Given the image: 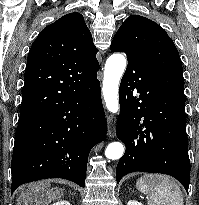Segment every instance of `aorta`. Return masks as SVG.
Listing matches in <instances>:
<instances>
[{
	"label": "aorta",
	"instance_id": "obj_1",
	"mask_svg": "<svg viewBox=\"0 0 199 205\" xmlns=\"http://www.w3.org/2000/svg\"><path fill=\"white\" fill-rule=\"evenodd\" d=\"M126 67V59L122 54L111 55L105 64L102 93L107 109L112 113L119 110L118 90L120 79ZM124 154V146L120 142L109 144L105 150L108 159L117 160Z\"/></svg>",
	"mask_w": 199,
	"mask_h": 205
}]
</instances>
